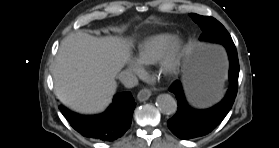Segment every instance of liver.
I'll return each mask as SVG.
<instances>
[{"instance_id":"liver-1","label":"liver","mask_w":279,"mask_h":148,"mask_svg":"<svg viewBox=\"0 0 279 148\" xmlns=\"http://www.w3.org/2000/svg\"><path fill=\"white\" fill-rule=\"evenodd\" d=\"M128 42L76 32L59 47L53 77L58 99L79 113L102 111L116 90L115 77L130 58ZM189 76L184 72V81Z\"/></svg>"}]
</instances>
